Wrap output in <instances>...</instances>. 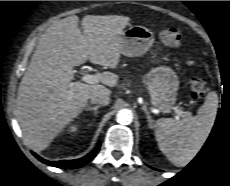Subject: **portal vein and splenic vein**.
<instances>
[{
  "mask_svg": "<svg viewBox=\"0 0 230 186\" xmlns=\"http://www.w3.org/2000/svg\"><path fill=\"white\" fill-rule=\"evenodd\" d=\"M82 81L89 83V84H97L99 82V78L97 75H92V74H85L82 77ZM175 113L177 116H183L184 112L180 109H175Z\"/></svg>",
  "mask_w": 230,
  "mask_h": 186,
  "instance_id": "1",
  "label": "portal vein and splenic vein"
}]
</instances>
